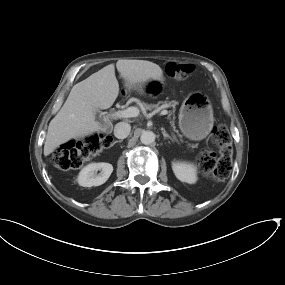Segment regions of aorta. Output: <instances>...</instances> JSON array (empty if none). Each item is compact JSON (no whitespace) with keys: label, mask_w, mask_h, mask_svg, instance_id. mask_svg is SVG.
<instances>
[{"label":"aorta","mask_w":285,"mask_h":285,"mask_svg":"<svg viewBox=\"0 0 285 285\" xmlns=\"http://www.w3.org/2000/svg\"><path fill=\"white\" fill-rule=\"evenodd\" d=\"M155 134L152 131H143L140 136V141L144 145L152 144L155 141Z\"/></svg>","instance_id":"obj_1"}]
</instances>
